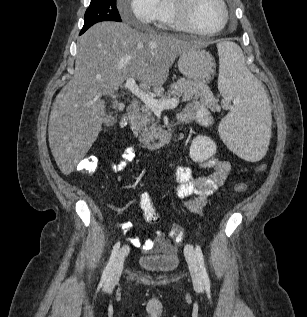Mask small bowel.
I'll return each instance as SVG.
<instances>
[{
  "label": "small bowel",
  "mask_w": 307,
  "mask_h": 317,
  "mask_svg": "<svg viewBox=\"0 0 307 317\" xmlns=\"http://www.w3.org/2000/svg\"><path fill=\"white\" fill-rule=\"evenodd\" d=\"M187 120H196L201 125L207 126L212 123V116L209 111L200 103L195 102L188 105L179 115ZM136 148H126L121 159L112 164L115 172L123 171L127 163L136 157ZM203 169L210 170L209 175L196 176L193 168L188 166L176 167L171 170L170 176L176 183L174 192L177 197L183 199V206L190 212L201 214L207 205L208 197L221 188L231 172V165L227 161L210 159L202 164ZM123 230L132 227L130 222L121 225ZM134 245L140 246L143 251H150L153 248H164L163 234L157 231L155 240L140 242L133 241Z\"/></svg>",
  "instance_id": "small-bowel-1"
}]
</instances>
